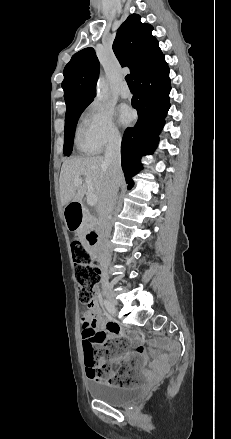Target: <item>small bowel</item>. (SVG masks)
<instances>
[{"label":"small bowel","instance_id":"1","mask_svg":"<svg viewBox=\"0 0 231 439\" xmlns=\"http://www.w3.org/2000/svg\"><path fill=\"white\" fill-rule=\"evenodd\" d=\"M81 326L83 350L87 344L96 346L99 345L106 337H127L130 338L132 342H139L138 338L132 336L131 331L128 328L106 322L103 318V311L97 301H94L88 311L82 316ZM105 328H107V331H105ZM121 361H125L127 363H132L134 361L135 365L137 366L138 364H146L147 356L145 353V348L142 345H137L134 353L116 358L111 363V375L116 372V369L120 365ZM143 374L147 376L152 375V373L147 369L143 370ZM137 379L141 380L140 377Z\"/></svg>","mask_w":231,"mask_h":439}]
</instances>
